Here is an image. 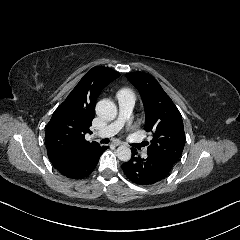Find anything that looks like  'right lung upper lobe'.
<instances>
[{"instance_id": "cb5924a9", "label": "right lung upper lobe", "mask_w": 240, "mask_h": 240, "mask_svg": "<svg viewBox=\"0 0 240 240\" xmlns=\"http://www.w3.org/2000/svg\"><path fill=\"white\" fill-rule=\"evenodd\" d=\"M120 74L108 67L90 69L53 113L47 124L45 142L51 162L73 160L100 145L85 140L95 116V105L102 89Z\"/></svg>"}]
</instances>
